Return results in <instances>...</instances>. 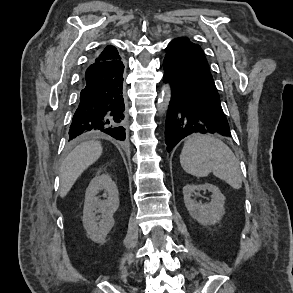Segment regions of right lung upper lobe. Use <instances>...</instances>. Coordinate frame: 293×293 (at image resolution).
<instances>
[{"mask_svg": "<svg viewBox=\"0 0 293 293\" xmlns=\"http://www.w3.org/2000/svg\"><path fill=\"white\" fill-rule=\"evenodd\" d=\"M121 57L118 54V51L115 47L109 45L107 46L100 54H97L92 62H107V61H120Z\"/></svg>", "mask_w": 293, "mask_h": 293, "instance_id": "obj_1", "label": "right lung upper lobe"}]
</instances>
